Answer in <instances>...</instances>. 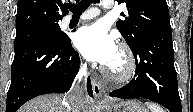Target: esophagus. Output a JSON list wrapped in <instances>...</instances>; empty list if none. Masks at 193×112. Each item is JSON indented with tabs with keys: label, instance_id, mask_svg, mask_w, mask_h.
Returning a JSON list of instances; mask_svg holds the SVG:
<instances>
[{
	"label": "esophagus",
	"instance_id": "34e87169",
	"mask_svg": "<svg viewBox=\"0 0 193 112\" xmlns=\"http://www.w3.org/2000/svg\"><path fill=\"white\" fill-rule=\"evenodd\" d=\"M92 89L96 99H101L103 97L104 90L102 84L95 78L92 79Z\"/></svg>",
	"mask_w": 193,
	"mask_h": 112
}]
</instances>
